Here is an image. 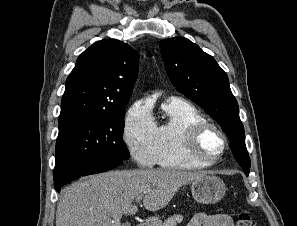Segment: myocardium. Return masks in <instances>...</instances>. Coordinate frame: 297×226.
<instances>
[{"label": "myocardium", "mask_w": 297, "mask_h": 226, "mask_svg": "<svg viewBox=\"0 0 297 226\" xmlns=\"http://www.w3.org/2000/svg\"><path fill=\"white\" fill-rule=\"evenodd\" d=\"M210 131H214L221 142L220 149L215 156H208L200 149L202 137ZM227 145L228 139L224 131L217 124L210 121H203L190 126L184 135L186 154L204 166H210L220 161L226 151Z\"/></svg>", "instance_id": "myocardium-1"}]
</instances>
